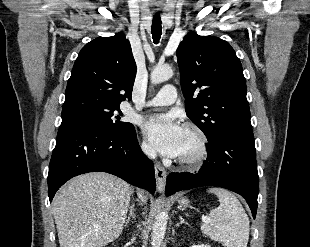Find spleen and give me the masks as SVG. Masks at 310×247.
I'll use <instances>...</instances> for the list:
<instances>
[{"label":"spleen","instance_id":"1","mask_svg":"<svg viewBox=\"0 0 310 247\" xmlns=\"http://www.w3.org/2000/svg\"><path fill=\"white\" fill-rule=\"evenodd\" d=\"M208 192L219 199V206L210 211V218L203 219L201 231L225 247H247L249 219L237 197L222 188Z\"/></svg>","mask_w":310,"mask_h":247}]
</instances>
